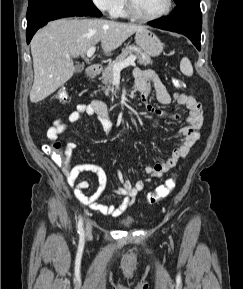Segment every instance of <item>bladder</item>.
Masks as SVG:
<instances>
[{
    "instance_id": "bladder-1",
    "label": "bladder",
    "mask_w": 243,
    "mask_h": 289,
    "mask_svg": "<svg viewBox=\"0 0 243 289\" xmlns=\"http://www.w3.org/2000/svg\"><path fill=\"white\" fill-rule=\"evenodd\" d=\"M133 222L132 218L131 217H126L124 219L121 220V223L125 226H129L131 225Z\"/></svg>"
}]
</instances>
